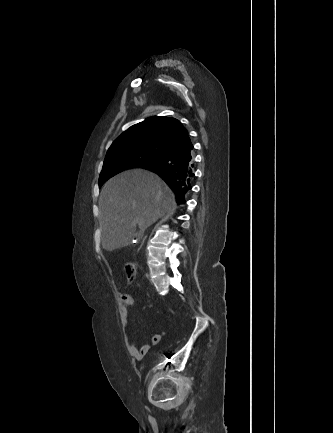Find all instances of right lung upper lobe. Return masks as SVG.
I'll list each match as a JSON object with an SVG mask.
<instances>
[{
  "label": "right lung upper lobe",
  "mask_w": 333,
  "mask_h": 433,
  "mask_svg": "<svg viewBox=\"0 0 333 433\" xmlns=\"http://www.w3.org/2000/svg\"><path fill=\"white\" fill-rule=\"evenodd\" d=\"M188 144H191L190 137L179 120L153 116L123 132L112 143L107 154L118 148L129 147L159 148L169 154Z\"/></svg>",
  "instance_id": "obj_1"
}]
</instances>
